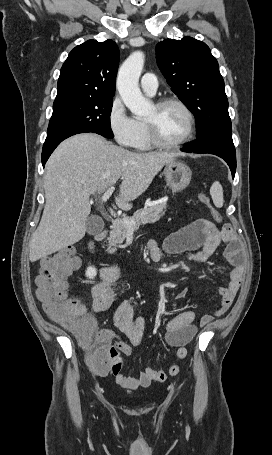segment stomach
Masks as SVG:
<instances>
[{"label": "stomach", "instance_id": "0dacf381", "mask_svg": "<svg viewBox=\"0 0 272 455\" xmlns=\"http://www.w3.org/2000/svg\"><path fill=\"white\" fill-rule=\"evenodd\" d=\"M163 173L167 185L174 192L185 189L189 185L192 176L191 169L185 163L176 159L165 165Z\"/></svg>", "mask_w": 272, "mask_h": 455}]
</instances>
